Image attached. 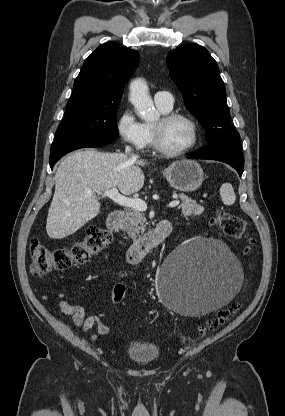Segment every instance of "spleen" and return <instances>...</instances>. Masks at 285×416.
<instances>
[{"mask_svg":"<svg viewBox=\"0 0 285 416\" xmlns=\"http://www.w3.org/2000/svg\"><path fill=\"white\" fill-rule=\"evenodd\" d=\"M220 196L223 204L225 206H232L234 204L236 198H235V192L231 186V184H222L220 188Z\"/></svg>","mask_w":285,"mask_h":416,"instance_id":"spleen-1","label":"spleen"}]
</instances>
